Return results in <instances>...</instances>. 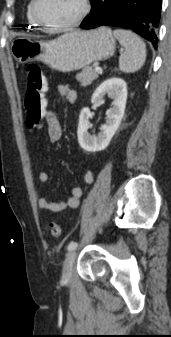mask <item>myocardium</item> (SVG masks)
Here are the masks:
<instances>
[{
    "label": "myocardium",
    "mask_w": 171,
    "mask_h": 337,
    "mask_svg": "<svg viewBox=\"0 0 171 337\" xmlns=\"http://www.w3.org/2000/svg\"><path fill=\"white\" fill-rule=\"evenodd\" d=\"M39 3H40V0H33V4H32L33 17L35 21L40 25V27H42L44 30L49 31V32H61V31L69 30L77 26L88 16L90 9H91L90 0H82V9L80 13L73 20L65 24L50 25L41 18L39 14V9H38Z\"/></svg>",
    "instance_id": "obj_1"
}]
</instances>
